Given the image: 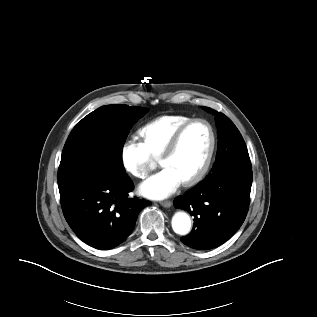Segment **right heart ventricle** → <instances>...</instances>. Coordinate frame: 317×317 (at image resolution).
<instances>
[{
	"label": "right heart ventricle",
	"instance_id": "obj_1",
	"mask_svg": "<svg viewBox=\"0 0 317 317\" xmlns=\"http://www.w3.org/2000/svg\"><path fill=\"white\" fill-rule=\"evenodd\" d=\"M189 120L184 115H164L140 128L142 142L152 157L159 158L176 131Z\"/></svg>",
	"mask_w": 317,
	"mask_h": 317
}]
</instances>
